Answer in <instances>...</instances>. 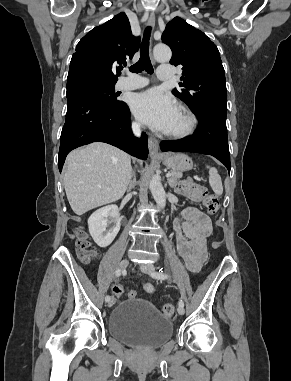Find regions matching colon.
Instances as JSON below:
<instances>
[{
	"label": "colon",
	"mask_w": 291,
	"mask_h": 381,
	"mask_svg": "<svg viewBox=\"0 0 291 381\" xmlns=\"http://www.w3.org/2000/svg\"><path fill=\"white\" fill-rule=\"evenodd\" d=\"M177 190L182 196L186 197L188 200L196 203H202L208 211V213L212 215L218 213L219 201L217 197L209 193L206 187H204L203 185L195 183L191 180H183L178 184ZM75 233L77 236V253L80 260L84 263L91 262L96 257V251L93 248L88 235L82 228H77ZM213 246L216 247L217 243L214 242ZM114 291L117 295L123 294L122 289L119 287H115ZM127 296L128 298H135L137 296V293L131 290L127 293ZM174 311V305L171 303H166L162 307V314L167 318H171L174 314Z\"/></svg>",
	"instance_id": "colon-1"
}]
</instances>
